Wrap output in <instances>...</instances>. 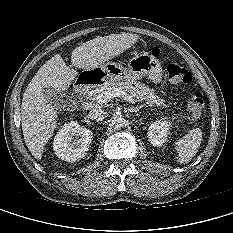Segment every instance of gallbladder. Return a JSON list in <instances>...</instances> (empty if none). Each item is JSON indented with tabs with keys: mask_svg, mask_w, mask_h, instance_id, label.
Listing matches in <instances>:
<instances>
[{
	"mask_svg": "<svg viewBox=\"0 0 233 233\" xmlns=\"http://www.w3.org/2000/svg\"><path fill=\"white\" fill-rule=\"evenodd\" d=\"M43 94L56 110H67L71 106L72 101L62 91L50 87L45 88Z\"/></svg>",
	"mask_w": 233,
	"mask_h": 233,
	"instance_id": "obj_1",
	"label": "gallbladder"
}]
</instances>
